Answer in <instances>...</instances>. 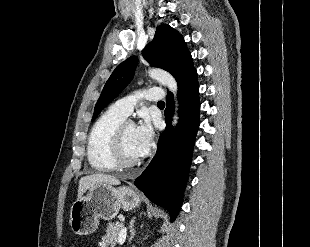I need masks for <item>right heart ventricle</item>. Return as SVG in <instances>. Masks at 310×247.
Segmentation results:
<instances>
[{
    "label": "right heart ventricle",
    "instance_id": "e07e8e85",
    "mask_svg": "<svg viewBox=\"0 0 310 247\" xmlns=\"http://www.w3.org/2000/svg\"><path fill=\"white\" fill-rule=\"evenodd\" d=\"M125 118L112 106L94 123L88 139L87 158L96 171L110 172L116 169L112 157L113 137Z\"/></svg>",
    "mask_w": 310,
    "mask_h": 247
}]
</instances>
